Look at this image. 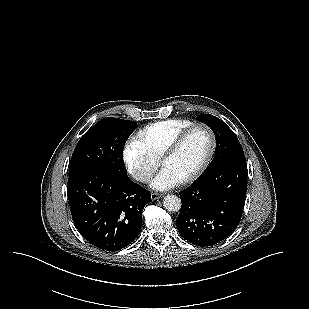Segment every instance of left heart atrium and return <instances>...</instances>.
Returning a JSON list of instances; mask_svg holds the SVG:
<instances>
[{
  "mask_svg": "<svg viewBox=\"0 0 309 309\" xmlns=\"http://www.w3.org/2000/svg\"><path fill=\"white\" fill-rule=\"evenodd\" d=\"M180 183V179L168 168H163L151 181V187L158 191L169 190Z\"/></svg>",
  "mask_w": 309,
  "mask_h": 309,
  "instance_id": "left-heart-atrium-1",
  "label": "left heart atrium"
}]
</instances>
